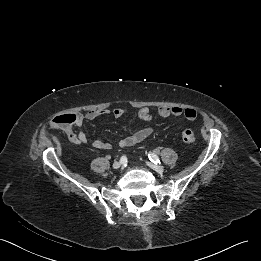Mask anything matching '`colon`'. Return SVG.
I'll list each match as a JSON object with an SVG mask.
<instances>
[{
	"mask_svg": "<svg viewBox=\"0 0 261 261\" xmlns=\"http://www.w3.org/2000/svg\"><path fill=\"white\" fill-rule=\"evenodd\" d=\"M76 121L75 115L70 113L58 114L52 117L50 124L56 128H67L72 126ZM182 140L187 143H193L196 135L191 129H184L181 133Z\"/></svg>",
	"mask_w": 261,
	"mask_h": 261,
	"instance_id": "5ec220e1",
	"label": "colon"
}]
</instances>
